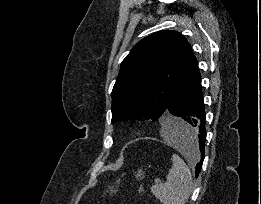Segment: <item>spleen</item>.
<instances>
[{"instance_id":"obj_1","label":"spleen","mask_w":261,"mask_h":204,"mask_svg":"<svg viewBox=\"0 0 261 204\" xmlns=\"http://www.w3.org/2000/svg\"><path fill=\"white\" fill-rule=\"evenodd\" d=\"M177 123H183V121L172 116L165 120L161 133L164 141L184 152L188 150V147H193L196 155H199V147L195 138L192 142L184 143L171 133L170 125ZM192 184L190 169L178 155L173 154L172 168L168 172L166 182L152 186L151 192L163 204H185L191 194Z\"/></svg>"}]
</instances>
